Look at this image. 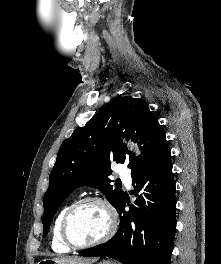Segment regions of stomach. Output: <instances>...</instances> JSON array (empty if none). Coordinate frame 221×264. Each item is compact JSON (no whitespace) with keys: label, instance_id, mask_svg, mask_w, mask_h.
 I'll list each match as a JSON object with an SVG mask.
<instances>
[{"label":"stomach","instance_id":"0dacf381","mask_svg":"<svg viewBox=\"0 0 221 264\" xmlns=\"http://www.w3.org/2000/svg\"><path fill=\"white\" fill-rule=\"evenodd\" d=\"M37 264H70V263H62L56 259H42ZM98 264H115V263L108 260H104L102 262H99Z\"/></svg>","mask_w":221,"mask_h":264}]
</instances>
